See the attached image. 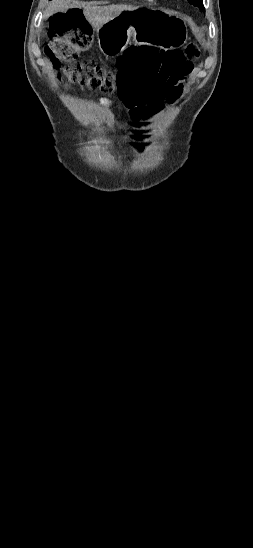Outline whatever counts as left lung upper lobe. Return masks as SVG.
Masks as SVG:
<instances>
[{
	"label": "left lung upper lobe",
	"mask_w": 253,
	"mask_h": 548,
	"mask_svg": "<svg viewBox=\"0 0 253 548\" xmlns=\"http://www.w3.org/2000/svg\"><path fill=\"white\" fill-rule=\"evenodd\" d=\"M188 2L198 8L201 7L204 11L203 1L202 0H188Z\"/></svg>",
	"instance_id": "5c2ea615"
}]
</instances>
